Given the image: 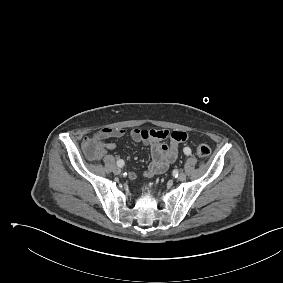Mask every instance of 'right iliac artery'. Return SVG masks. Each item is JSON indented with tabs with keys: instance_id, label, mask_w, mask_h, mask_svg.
Listing matches in <instances>:
<instances>
[{
	"instance_id": "right-iliac-artery-1",
	"label": "right iliac artery",
	"mask_w": 283,
	"mask_h": 283,
	"mask_svg": "<svg viewBox=\"0 0 283 283\" xmlns=\"http://www.w3.org/2000/svg\"><path fill=\"white\" fill-rule=\"evenodd\" d=\"M117 166H118V167H123V166H124V161H123L122 159H119V160L117 161Z\"/></svg>"
}]
</instances>
